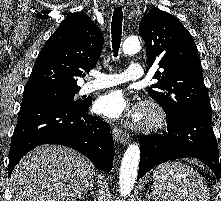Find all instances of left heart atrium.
<instances>
[{
  "instance_id": "39dd6f15",
  "label": "left heart atrium",
  "mask_w": 221,
  "mask_h": 201,
  "mask_svg": "<svg viewBox=\"0 0 221 201\" xmlns=\"http://www.w3.org/2000/svg\"><path fill=\"white\" fill-rule=\"evenodd\" d=\"M96 110L111 119L139 117V111L130 104L127 95L122 90H114L100 96L96 101Z\"/></svg>"
}]
</instances>
